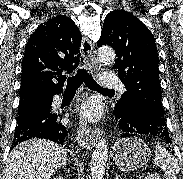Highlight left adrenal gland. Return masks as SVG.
Returning <instances> with one entry per match:
<instances>
[{
	"instance_id": "a2214340",
	"label": "left adrenal gland",
	"mask_w": 183,
	"mask_h": 179,
	"mask_svg": "<svg viewBox=\"0 0 183 179\" xmlns=\"http://www.w3.org/2000/svg\"><path fill=\"white\" fill-rule=\"evenodd\" d=\"M115 179H119V175L116 174Z\"/></svg>"
}]
</instances>
